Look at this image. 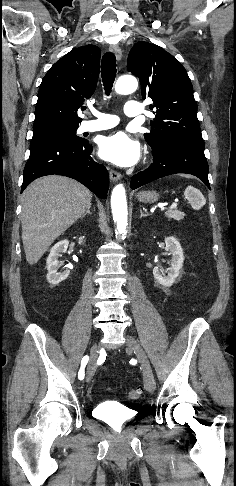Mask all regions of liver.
<instances>
[{"mask_svg": "<svg viewBox=\"0 0 236 486\" xmlns=\"http://www.w3.org/2000/svg\"><path fill=\"white\" fill-rule=\"evenodd\" d=\"M91 192L77 181L57 175L31 183L22 199V241L30 265L91 206Z\"/></svg>", "mask_w": 236, "mask_h": 486, "instance_id": "obj_1", "label": "liver"}]
</instances>
